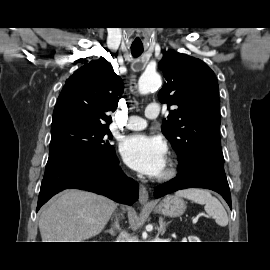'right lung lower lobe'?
<instances>
[{
	"label": "right lung lower lobe",
	"instance_id": "98d812e1",
	"mask_svg": "<svg viewBox=\"0 0 270 270\" xmlns=\"http://www.w3.org/2000/svg\"><path fill=\"white\" fill-rule=\"evenodd\" d=\"M119 160L102 157L93 151H66L49 157L40 188L37 210L56 193L77 188L132 205L139 197L138 183L127 178Z\"/></svg>",
	"mask_w": 270,
	"mask_h": 270
}]
</instances>
